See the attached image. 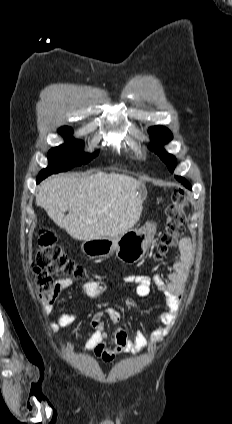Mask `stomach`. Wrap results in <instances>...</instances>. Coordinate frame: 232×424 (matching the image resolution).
I'll use <instances>...</instances> for the list:
<instances>
[{"label":"stomach","instance_id":"obj_1","mask_svg":"<svg viewBox=\"0 0 232 424\" xmlns=\"http://www.w3.org/2000/svg\"><path fill=\"white\" fill-rule=\"evenodd\" d=\"M156 234L152 224L140 229H129L116 237L85 240L81 249L90 258H106L114 252L124 262L135 263L142 259Z\"/></svg>","mask_w":232,"mask_h":424}]
</instances>
